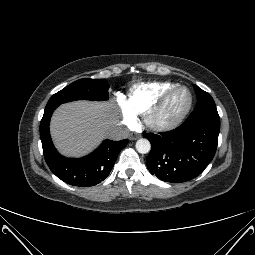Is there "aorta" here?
Here are the masks:
<instances>
[{
	"instance_id": "762f6f07",
	"label": "aorta",
	"mask_w": 255,
	"mask_h": 255,
	"mask_svg": "<svg viewBox=\"0 0 255 255\" xmlns=\"http://www.w3.org/2000/svg\"><path fill=\"white\" fill-rule=\"evenodd\" d=\"M136 150L141 154H147L151 150V144L149 140L145 138L137 140Z\"/></svg>"
}]
</instances>
